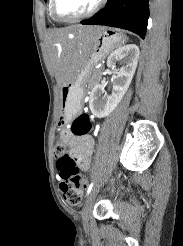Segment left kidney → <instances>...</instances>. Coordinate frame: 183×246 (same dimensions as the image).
<instances>
[{
    "mask_svg": "<svg viewBox=\"0 0 183 246\" xmlns=\"http://www.w3.org/2000/svg\"><path fill=\"white\" fill-rule=\"evenodd\" d=\"M139 55V48L135 44L124 45L110 54L107 67L114 74L112 94L108 95L102 84L95 85L90 94L89 108L96 117L108 116L120 103L135 73ZM117 62L122 64L119 69H116Z\"/></svg>",
    "mask_w": 183,
    "mask_h": 246,
    "instance_id": "5707ae66",
    "label": "left kidney"
}]
</instances>
